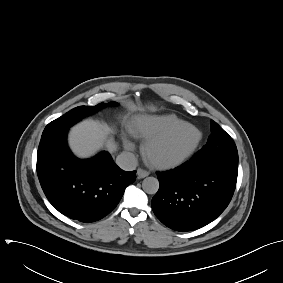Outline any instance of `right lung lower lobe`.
Returning <instances> with one entry per match:
<instances>
[{
  "instance_id": "1",
  "label": "right lung lower lobe",
  "mask_w": 283,
  "mask_h": 283,
  "mask_svg": "<svg viewBox=\"0 0 283 283\" xmlns=\"http://www.w3.org/2000/svg\"><path fill=\"white\" fill-rule=\"evenodd\" d=\"M67 130L41 139L37 174L49 202L62 214L85 223L100 220L119 203L135 171L120 169L107 152L88 160L76 158Z\"/></svg>"
}]
</instances>
